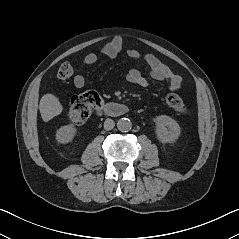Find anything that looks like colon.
I'll list each match as a JSON object with an SVG mask.
<instances>
[{
    "mask_svg": "<svg viewBox=\"0 0 239 239\" xmlns=\"http://www.w3.org/2000/svg\"><path fill=\"white\" fill-rule=\"evenodd\" d=\"M73 75V68L70 64H62L57 76L62 79H69ZM167 104L181 115H186V107L181 98L176 94H169L166 97ZM100 96L93 91L74 95L69 102L68 118L71 123L81 125L87 121L93 111L101 106Z\"/></svg>",
    "mask_w": 239,
    "mask_h": 239,
    "instance_id": "5ec220e1",
    "label": "colon"
}]
</instances>
